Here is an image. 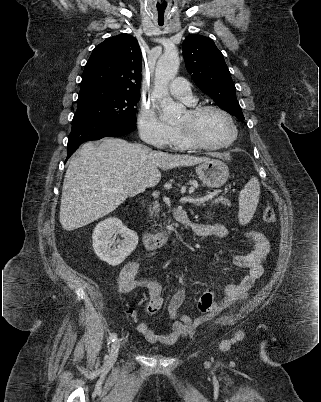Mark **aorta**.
Masks as SVG:
<instances>
[{"instance_id": "1", "label": "aorta", "mask_w": 321, "mask_h": 402, "mask_svg": "<svg viewBox=\"0 0 321 402\" xmlns=\"http://www.w3.org/2000/svg\"><path fill=\"white\" fill-rule=\"evenodd\" d=\"M179 65L180 60L176 50L165 51L156 64L153 95L160 104L163 120L176 118L183 110V106L174 102L168 91V85L177 75Z\"/></svg>"}]
</instances>
